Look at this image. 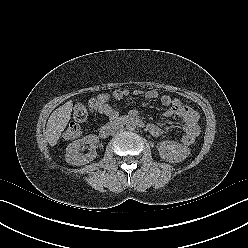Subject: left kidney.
Segmentation results:
<instances>
[{
	"mask_svg": "<svg viewBox=\"0 0 248 248\" xmlns=\"http://www.w3.org/2000/svg\"><path fill=\"white\" fill-rule=\"evenodd\" d=\"M160 157L170 163H178L186 159L190 149L175 141L165 140L157 146Z\"/></svg>",
	"mask_w": 248,
	"mask_h": 248,
	"instance_id": "left-kidney-1",
	"label": "left kidney"
}]
</instances>
